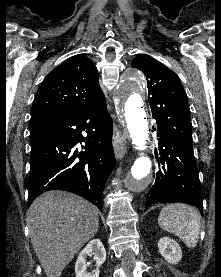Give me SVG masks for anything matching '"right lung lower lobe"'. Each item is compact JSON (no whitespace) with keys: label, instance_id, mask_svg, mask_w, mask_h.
<instances>
[{"label":"right lung lower lobe","instance_id":"1","mask_svg":"<svg viewBox=\"0 0 221 277\" xmlns=\"http://www.w3.org/2000/svg\"><path fill=\"white\" fill-rule=\"evenodd\" d=\"M30 128L40 135L31 141L28 207L45 191L65 190L102 210L103 189L115 166L106 102L77 112L36 116ZM78 143L83 151L76 148Z\"/></svg>","mask_w":221,"mask_h":277}]
</instances>
